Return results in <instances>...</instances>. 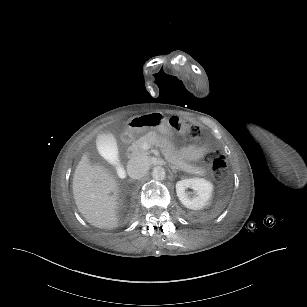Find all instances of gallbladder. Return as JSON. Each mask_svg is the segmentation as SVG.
Here are the masks:
<instances>
[{
    "label": "gallbladder",
    "mask_w": 307,
    "mask_h": 307,
    "mask_svg": "<svg viewBox=\"0 0 307 307\" xmlns=\"http://www.w3.org/2000/svg\"><path fill=\"white\" fill-rule=\"evenodd\" d=\"M97 144L99 146V151L103 154V157L109 161L111 166L115 167L114 169L116 172H121L123 168L121 165H119V150L116 148L115 139L109 133H101L97 137ZM119 176L124 180L128 175L123 171Z\"/></svg>",
    "instance_id": "obj_1"
}]
</instances>
